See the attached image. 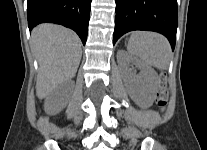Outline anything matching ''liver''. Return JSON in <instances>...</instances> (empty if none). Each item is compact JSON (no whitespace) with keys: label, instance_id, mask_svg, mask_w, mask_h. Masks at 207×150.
<instances>
[{"label":"liver","instance_id":"6515ba94","mask_svg":"<svg viewBox=\"0 0 207 150\" xmlns=\"http://www.w3.org/2000/svg\"><path fill=\"white\" fill-rule=\"evenodd\" d=\"M31 46L39 65L36 95L43 99L75 76L82 56L81 41L72 30L41 24L32 32Z\"/></svg>","mask_w":207,"mask_h":150}]
</instances>
